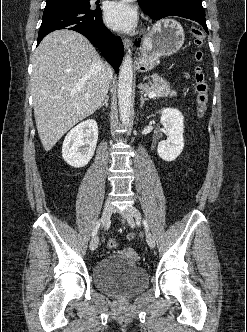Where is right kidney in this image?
<instances>
[{"mask_svg":"<svg viewBox=\"0 0 247 332\" xmlns=\"http://www.w3.org/2000/svg\"><path fill=\"white\" fill-rule=\"evenodd\" d=\"M98 140V126L95 120L81 122L66 135L62 146V157L75 168L86 166L91 160Z\"/></svg>","mask_w":247,"mask_h":332,"instance_id":"right-kidney-1","label":"right kidney"}]
</instances>
